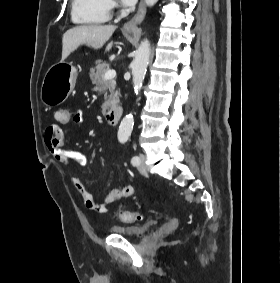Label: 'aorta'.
Wrapping results in <instances>:
<instances>
[{"instance_id": "762f6f07", "label": "aorta", "mask_w": 280, "mask_h": 283, "mask_svg": "<svg viewBox=\"0 0 280 283\" xmlns=\"http://www.w3.org/2000/svg\"><path fill=\"white\" fill-rule=\"evenodd\" d=\"M157 1L158 0H145V3L147 6H153L154 4L157 3ZM149 57H150V43L146 39L141 42L131 64L133 87L136 95L139 94L142 88L147 66L149 63ZM133 125H134V118L131 113L126 115L122 119L118 130V140L120 142H126L128 140V138L131 135Z\"/></svg>"}]
</instances>
